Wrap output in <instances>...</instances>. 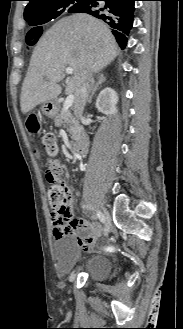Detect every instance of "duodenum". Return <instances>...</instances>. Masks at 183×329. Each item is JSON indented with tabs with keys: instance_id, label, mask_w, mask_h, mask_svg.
I'll return each mask as SVG.
<instances>
[{
	"instance_id": "duodenum-1",
	"label": "duodenum",
	"mask_w": 183,
	"mask_h": 329,
	"mask_svg": "<svg viewBox=\"0 0 183 329\" xmlns=\"http://www.w3.org/2000/svg\"><path fill=\"white\" fill-rule=\"evenodd\" d=\"M89 138L86 134H80L77 140L72 144L71 153L76 156L85 155L88 152Z\"/></svg>"
}]
</instances>
